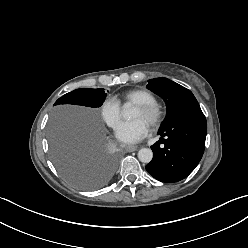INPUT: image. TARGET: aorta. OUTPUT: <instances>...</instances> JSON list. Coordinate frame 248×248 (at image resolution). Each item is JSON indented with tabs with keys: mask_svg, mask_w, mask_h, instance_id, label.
I'll return each mask as SVG.
<instances>
[{
	"mask_svg": "<svg viewBox=\"0 0 248 248\" xmlns=\"http://www.w3.org/2000/svg\"><path fill=\"white\" fill-rule=\"evenodd\" d=\"M122 115L125 119L131 118V109L128 105H124ZM153 158V152L149 148H142L138 151V159L143 163H149Z\"/></svg>",
	"mask_w": 248,
	"mask_h": 248,
	"instance_id": "1",
	"label": "aorta"
}]
</instances>
